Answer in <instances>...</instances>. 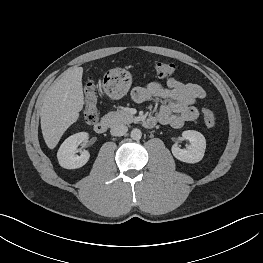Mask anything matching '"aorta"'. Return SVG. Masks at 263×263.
I'll return each instance as SVG.
<instances>
[{"mask_svg": "<svg viewBox=\"0 0 263 263\" xmlns=\"http://www.w3.org/2000/svg\"><path fill=\"white\" fill-rule=\"evenodd\" d=\"M130 136L133 140H140L142 137V132L140 129L135 128L131 131Z\"/></svg>", "mask_w": 263, "mask_h": 263, "instance_id": "762f6f07", "label": "aorta"}]
</instances>
